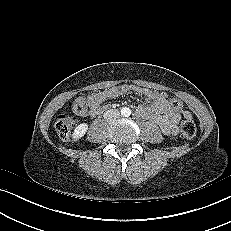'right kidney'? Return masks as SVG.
Segmentation results:
<instances>
[{"instance_id": "ca27d5eb", "label": "right kidney", "mask_w": 231, "mask_h": 231, "mask_svg": "<svg viewBox=\"0 0 231 231\" xmlns=\"http://www.w3.org/2000/svg\"><path fill=\"white\" fill-rule=\"evenodd\" d=\"M87 130H88V125L86 123L79 124L74 129V132L72 134V139L74 141L79 140L80 138H82L86 134Z\"/></svg>"}]
</instances>
